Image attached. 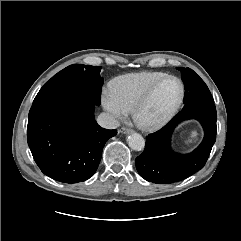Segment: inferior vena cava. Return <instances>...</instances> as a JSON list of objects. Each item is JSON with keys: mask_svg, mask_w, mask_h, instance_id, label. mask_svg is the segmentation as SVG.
<instances>
[{"mask_svg": "<svg viewBox=\"0 0 241 241\" xmlns=\"http://www.w3.org/2000/svg\"><path fill=\"white\" fill-rule=\"evenodd\" d=\"M97 123L106 129H115L120 126L119 121L110 113H101L97 118Z\"/></svg>", "mask_w": 241, "mask_h": 241, "instance_id": "602c4592", "label": "inferior vena cava"}]
</instances>
